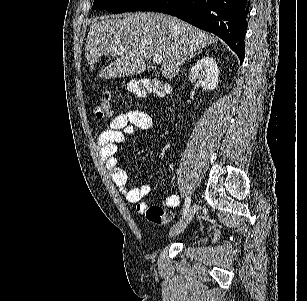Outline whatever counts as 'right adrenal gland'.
Wrapping results in <instances>:
<instances>
[{"label":"right adrenal gland","instance_id":"right-adrenal-gland-1","mask_svg":"<svg viewBox=\"0 0 307 301\" xmlns=\"http://www.w3.org/2000/svg\"><path fill=\"white\" fill-rule=\"evenodd\" d=\"M199 52H203L202 48L201 50H198V52H194V54H191V56H189V58H186V60H191V58H193V56H196V54H199Z\"/></svg>","mask_w":307,"mask_h":301}]
</instances>
